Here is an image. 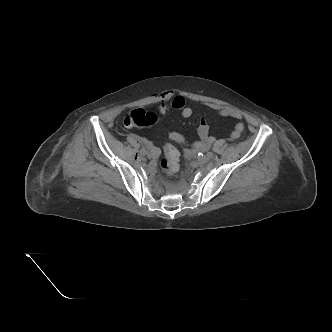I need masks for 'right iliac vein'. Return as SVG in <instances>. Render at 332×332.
Returning a JSON list of instances; mask_svg holds the SVG:
<instances>
[{
  "label": "right iliac vein",
  "instance_id": "right-iliac-vein-1",
  "mask_svg": "<svg viewBox=\"0 0 332 332\" xmlns=\"http://www.w3.org/2000/svg\"><path fill=\"white\" fill-rule=\"evenodd\" d=\"M140 154L143 155V156L146 155L147 154V150L145 148H141L140 149Z\"/></svg>",
  "mask_w": 332,
  "mask_h": 332
}]
</instances>
